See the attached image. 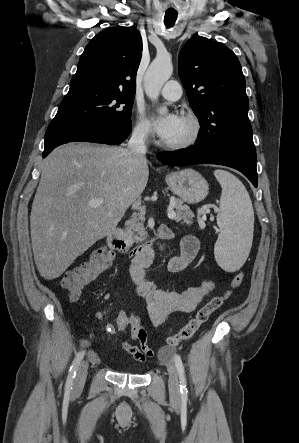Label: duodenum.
Here are the masks:
<instances>
[{"label":"duodenum","instance_id":"1","mask_svg":"<svg viewBox=\"0 0 299 443\" xmlns=\"http://www.w3.org/2000/svg\"><path fill=\"white\" fill-rule=\"evenodd\" d=\"M169 238L170 234L168 230L165 228V226H160L152 240L139 245H132L126 239H124L118 229H113L107 236V243L112 250L118 252L119 254L133 257L135 264L149 266L155 257V240H165Z\"/></svg>","mask_w":299,"mask_h":443}]
</instances>
